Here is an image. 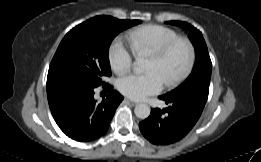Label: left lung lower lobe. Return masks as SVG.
<instances>
[{
    "label": "left lung lower lobe",
    "mask_w": 261,
    "mask_h": 162,
    "mask_svg": "<svg viewBox=\"0 0 261 162\" xmlns=\"http://www.w3.org/2000/svg\"><path fill=\"white\" fill-rule=\"evenodd\" d=\"M159 98L170 106L163 110L152 109L150 116L139 124L143 136L155 145L172 144L186 136L200 118L207 101V98L193 92Z\"/></svg>",
    "instance_id": "obj_1"
}]
</instances>
